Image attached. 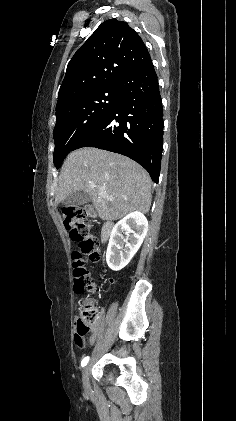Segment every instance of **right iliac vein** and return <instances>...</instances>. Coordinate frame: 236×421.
<instances>
[{
  "label": "right iliac vein",
  "instance_id": "obj_1",
  "mask_svg": "<svg viewBox=\"0 0 236 421\" xmlns=\"http://www.w3.org/2000/svg\"><path fill=\"white\" fill-rule=\"evenodd\" d=\"M89 369H90V366L87 365L83 370L82 382H83L84 387H88L90 384L89 383Z\"/></svg>",
  "mask_w": 236,
  "mask_h": 421
}]
</instances>
